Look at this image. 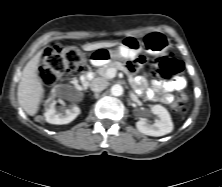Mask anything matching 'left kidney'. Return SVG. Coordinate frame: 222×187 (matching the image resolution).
Returning a JSON list of instances; mask_svg holds the SVG:
<instances>
[{"instance_id":"obj_1","label":"left kidney","mask_w":222,"mask_h":187,"mask_svg":"<svg viewBox=\"0 0 222 187\" xmlns=\"http://www.w3.org/2000/svg\"><path fill=\"white\" fill-rule=\"evenodd\" d=\"M151 111L158 118L153 124L148 123L145 118H141L137 123V129L149 136H163L170 133L173 130V123L169 112L161 105H153Z\"/></svg>"}]
</instances>
